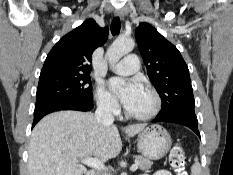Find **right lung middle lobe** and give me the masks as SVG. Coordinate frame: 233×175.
Wrapping results in <instances>:
<instances>
[{
    "label": "right lung middle lobe",
    "instance_id": "obj_1",
    "mask_svg": "<svg viewBox=\"0 0 233 175\" xmlns=\"http://www.w3.org/2000/svg\"><path fill=\"white\" fill-rule=\"evenodd\" d=\"M35 108L52 102H92L89 73L53 75L39 78Z\"/></svg>",
    "mask_w": 233,
    "mask_h": 175
}]
</instances>
